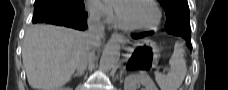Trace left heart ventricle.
Here are the masks:
<instances>
[{"label":"left heart ventricle","mask_w":228,"mask_h":90,"mask_svg":"<svg viewBox=\"0 0 228 90\" xmlns=\"http://www.w3.org/2000/svg\"><path fill=\"white\" fill-rule=\"evenodd\" d=\"M122 13L126 21L134 26L151 27L157 21L155 7L146 0H138L124 5Z\"/></svg>","instance_id":"b2bd125f"}]
</instances>
